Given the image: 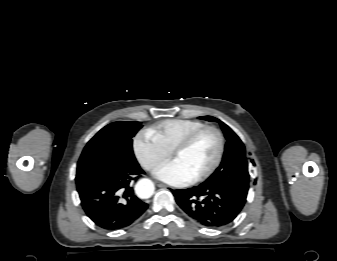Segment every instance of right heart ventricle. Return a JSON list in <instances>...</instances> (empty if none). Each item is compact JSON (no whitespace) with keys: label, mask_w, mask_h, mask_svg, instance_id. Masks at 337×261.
Wrapping results in <instances>:
<instances>
[{"label":"right heart ventricle","mask_w":337,"mask_h":261,"mask_svg":"<svg viewBox=\"0 0 337 261\" xmlns=\"http://www.w3.org/2000/svg\"><path fill=\"white\" fill-rule=\"evenodd\" d=\"M203 126L205 124L197 120L167 119L154 125L148 131L166 151L171 153L190 132Z\"/></svg>","instance_id":"right-heart-ventricle-1"}]
</instances>
